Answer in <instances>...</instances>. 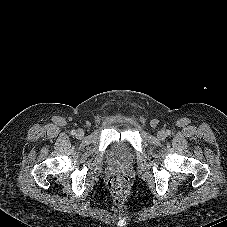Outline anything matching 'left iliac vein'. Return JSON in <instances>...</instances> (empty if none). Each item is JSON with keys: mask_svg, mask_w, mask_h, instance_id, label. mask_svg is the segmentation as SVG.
I'll use <instances>...</instances> for the list:
<instances>
[{"mask_svg": "<svg viewBox=\"0 0 227 227\" xmlns=\"http://www.w3.org/2000/svg\"><path fill=\"white\" fill-rule=\"evenodd\" d=\"M157 137L160 139V140H163L166 138V132L163 131V130H160L158 133H157Z\"/></svg>", "mask_w": 227, "mask_h": 227, "instance_id": "4c4485c4", "label": "left iliac vein"}]
</instances>
